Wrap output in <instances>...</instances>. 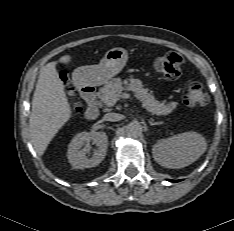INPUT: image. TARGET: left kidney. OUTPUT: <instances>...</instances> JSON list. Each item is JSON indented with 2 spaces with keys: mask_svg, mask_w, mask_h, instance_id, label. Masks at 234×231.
Returning a JSON list of instances; mask_svg holds the SVG:
<instances>
[{
  "mask_svg": "<svg viewBox=\"0 0 234 231\" xmlns=\"http://www.w3.org/2000/svg\"><path fill=\"white\" fill-rule=\"evenodd\" d=\"M207 149L205 138L185 132L162 139L153 146V157L163 167L180 169L196 161Z\"/></svg>",
  "mask_w": 234,
  "mask_h": 231,
  "instance_id": "obj_1",
  "label": "left kidney"
}]
</instances>
